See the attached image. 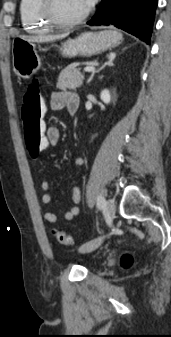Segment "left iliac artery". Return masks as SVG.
I'll return each instance as SVG.
<instances>
[{
  "label": "left iliac artery",
  "mask_w": 171,
  "mask_h": 337,
  "mask_svg": "<svg viewBox=\"0 0 171 337\" xmlns=\"http://www.w3.org/2000/svg\"><path fill=\"white\" fill-rule=\"evenodd\" d=\"M105 206V198L103 196H99L97 198V207L102 209Z\"/></svg>",
  "instance_id": "obj_1"
}]
</instances>
